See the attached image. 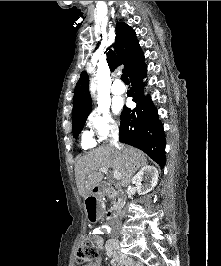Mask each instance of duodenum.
<instances>
[{"label": "duodenum", "instance_id": "410a0bca", "mask_svg": "<svg viewBox=\"0 0 221 266\" xmlns=\"http://www.w3.org/2000/svg\"><path fill=\"white\" fill-rule=\"evenodd\" d=\"M111 193V190H103L102 185L95 186L94 189H89L85 203L87 206V219L88 223H99V219H102L103 213V201L102 196ZM106 220L111 221L115 217V210L109 209L106 212Z\"/></svg>", "mask_w": 221, "mask_h": 266}]
</instances>
